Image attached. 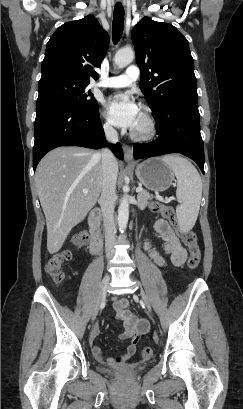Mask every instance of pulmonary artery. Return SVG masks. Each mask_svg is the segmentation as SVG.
I'll use <instances>...</instances> for the list:
<instances>
[{"label": "pulmonary artery", "mask_w": 243, "mask_h": 409, "mask_svg": "<svg viewBox=\"0 0 243 409\" xmlns=\"http://www.w3.org/2000/svg\"><path fill=\"white\" fill-rule=\"evenodd\" d=\"M139 77V69L136 66H129L125 73L119 76H113L97 83L100 87L106 88H122L127 87L132 82H135Z\"/></svg>", "instance_id": "obj_1"}]
</instances>
